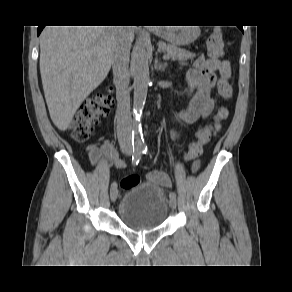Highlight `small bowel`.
<instances>
[{
	"label": "small bowel",
	"instance_id": "1",
	"mask_svg": "<svg viewBox=\"0 0 292 292\" xmlns=\"http://www.w3.org/2000/svg\"><path fill=\"white\" fill-rule=\"evenodd\" d=\"M231 67L228 61L206 59L203 55L198 56L193 66L185 76L184 94L189 97L187 109L177 117L179 122L193 123L199 119L208 117L214 109L212 90L220 75L223 79H230ZM219 128V125H217ZM171 137L177 139L179 133L171 132ZM89 157L93 165L97 167H116L123 169L126 166L124 160L119 157L117 148L112 141H105L100 147L91 146ZM200 163L193 164V170H198ZM147 179L165 188L171 187L169 175L160 170H153L147 174Z\"/></svg>",
	"mask_w": 292,
	"mask_h": 292
}]
</instances>
